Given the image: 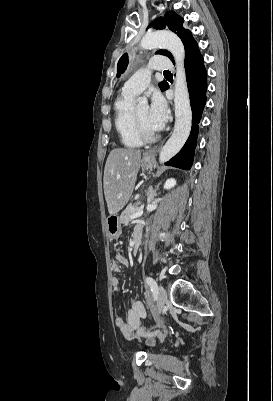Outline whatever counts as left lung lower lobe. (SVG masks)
Segmentation results:
<instances>
[{"label":"left lung lower lobe","instance_id":"1","mask_svg":"<svg viewBox=\"0 0 273 401\" xmlns=\"http://www.w3.org/2000/svg\"><path fill=\"white\" fill-rule=\"evenodd\" d=\"M185 70L190 104L192 108L191 133L182 150L174 156L166 165L188 170L191 168L194 157V150L197 143V136L202 111L206 103L207 71L204 67L203 57L199 52L196 42L192 43L185 50ZM174 63V60H173ZM168 84L164 90L168 89Z\"/></svg>","mask_w":273,"mask_h":401}]
</instances>
